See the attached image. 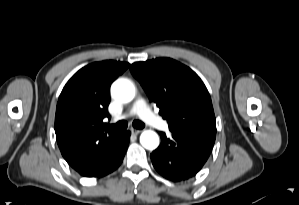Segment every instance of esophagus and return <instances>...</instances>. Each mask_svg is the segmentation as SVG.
<instances>
[{
	"label": "esophagus",
	"instance_id": "esophagus-1",
	"mask_svg": "<svg viewBox=\"0 0 299 205\" xmlns=\"http://www.w3.org/2000/svg\"><path fill=\"white\" fill-rule=\"evenodd\" d=\"M141 132V130L139 129H131V133L134 134V135H138L139 133Z\"/></svg>",
	"mask_w": 299,
	"mask_h": 205
}]
</instances>
